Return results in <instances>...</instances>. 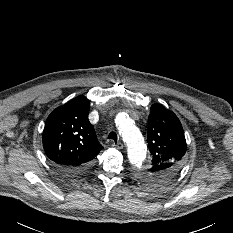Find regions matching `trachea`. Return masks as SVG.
<instances>
[{"mask_svg": "<svg viewBox=\"0 0 233 233\" xmlns=\"http://www.w3.org/2000/svg\"><path fill=\"white\" fill-rule=\"evenodd\" d=\"M109 139H112L113 141L117 142V134L115 132H111L108 136Z\"/></svg>", "mask_w": 233, "mask_h": 233, "instance_id": "3493384b", "label": "trachea"}]
</instances>
